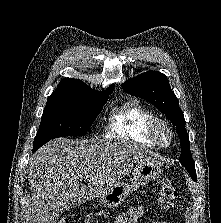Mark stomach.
Instances as JSON below:
<instances>
[{
  "label": "stomach",
  "mask_w": 221,
  "mask_h": 223,
  "mask_svg": "<svg viewBox=\"0 0 221 223\" xmlns=\"http://www.w3.org/2000/svg\"><path fill=\"white\" fill-rule=\"evenodd\" d=\"M161 171V164L156 160L138 162L132 172L130 183L119 182L100 197V202L105 207L120 206L133 191L147 182L156 180Z\"/></svg>",
  "instance_id": "1"
}]
</instances>
